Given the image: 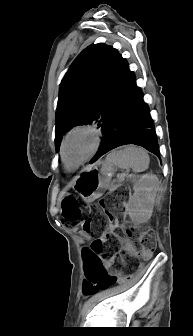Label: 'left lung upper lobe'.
<instances>
[{
  "mask_svg": "<svg viewBox=\"0 0 193 336\" xmlns=\"http://www.w3.org/2000/svg\"><path fill=\"white\" fill-rule=\"evenodd\" d=\"M128 64L117 50L103 43L84 49L60 84L56 111V149L65 132L77 125L106 119L121 88Z\"/></svg>",
  "mask_w": 193,
  "mask_h": 336,
  "instance_id": "1",
  "label": "left lung upper lobe"
}]
</instances>
